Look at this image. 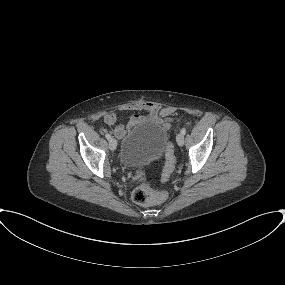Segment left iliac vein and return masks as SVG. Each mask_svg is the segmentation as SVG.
I'll return each instance as SVG.
<instances>
[{
  "instance_id": "1",
  "label": "left iliac vein",
  "mask_w": 285,
  "mask_h": 285,
  "mask_svg": "<svg viewBox=\"0 0 285 285\" xmlns=\"http://www.w3.org/2000/svg\"><path fill=\"white\" fill-rule=\"evenodd\" d=\"M176 141H177V144H178L179 146H183V144H184V135L181 134V133H179V134L177 135V137H176Z\"/></svg>"
}]
</instances>
